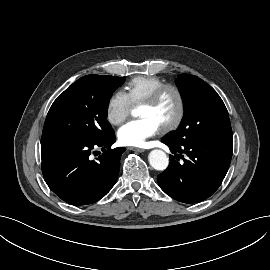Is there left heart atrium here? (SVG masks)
Masks as SVG:
<instances>
[{"label": "left heart atrium", "instance_id": "1", "mask_svg": "<svg viewBox=\"0 0 270 270\" xmlns=\"http://www.w3.org/2000/svg\"><path fill=\"white\" fill-rule=\"evenodd\" d=\"M161 127L150 117L131 120L118 130V140L125 146H143L146 140L160 131Z\"/></svg>", "mask_w": 270, "mask_h": 270}]
</instances>
